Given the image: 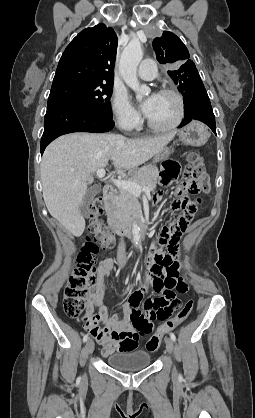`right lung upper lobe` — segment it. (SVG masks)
<instances>
[{"instance_id": "obj_1", "label": "right lung upper lobe", "mask_w": 255, "mask_h": 418, "mask_svg": "<svg viewBox=\"0 0 255 418\" xmlns=\"http://www.w3.org/2000/svg\"><path fill=\"white\" fill-rule=\"evenodd\" d=\"M117 36L112 28L98 24L81 31L63 52L54 79L113 83Z\"/></svg>"}]
</instances>
